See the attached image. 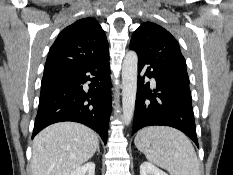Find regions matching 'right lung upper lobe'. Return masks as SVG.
<instances>
[{
	"label": "right lung upper lobe",
	"mask_w": 233,
	"mask_h": 175,
	"mask_svg": "<svg viewBox=\"0 0 233 175\" xmlns=\"http://www.w3.org/2000/svg\"><path fill=\"white\" fill-rule=\"evenodd\" d=\"M109 53L103 29L93 18H84L66 27L49 50L43 78L49 77Z\"/></svg>",
	"instance_id": "obj_1"
}]
</instances>
